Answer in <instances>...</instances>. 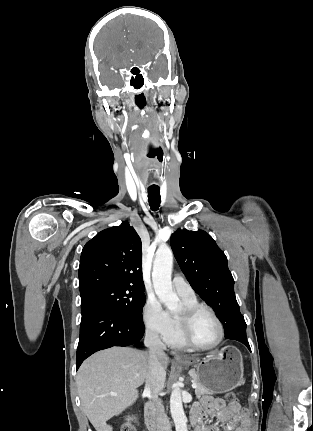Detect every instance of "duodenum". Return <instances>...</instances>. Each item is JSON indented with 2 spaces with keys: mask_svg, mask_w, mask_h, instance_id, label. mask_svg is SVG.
I'll return each mask as SVG.
<instances>
[{
  "mask_svg": "<svg viewBox=\"0 0 313 431\" xmlns=\"http://www.w3.org/2000/svg\"><path fill=\"white\" fill-rule=\"evenodd\" d=\"M145 417H146V424L149 430L156 431V428L158 425H157V416H156V405L153 401H149L146 404ZM191 421L193 424H197L198 418L195 414H191Z\"/></svg>",
  "mask_w": 313,
  "mask_h": 431,
  "instance_id": "obj_1",
  "label": "duodenum"
}]
</instances>
